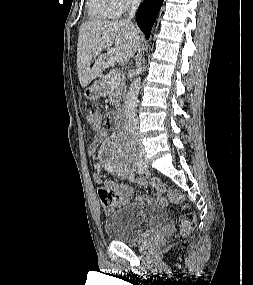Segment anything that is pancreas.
Wrapping results in <instances>:
<instances>
[{
  "label": "pancreas",
  "instance_id": "1",
  "mask_svg": "<svg viewBox=\"0 0 253 285\" xmlns=\"http://www.w3.org/2000/svg\"><path fill=\"white\" fill-rule=\"evenodd\" d=\"M115 71H110L108 74H106L101 81V86L103 90L104 95H108L110 93V90L114 88V99H115V104L117 107L120 106V100L125 97V83L124 82H119L117 85H111L109 83V80L111 76L113 75Z\"/></svg>",
  "mask_w": 253,
  "mask_h": 285
}]
</instances>
